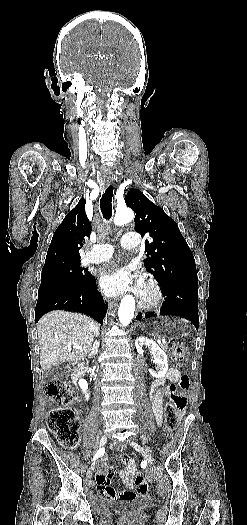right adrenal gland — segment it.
I'll return each mask as SVG.
<instances>
[{"label":"right adrenal gland","mask_w":247,"mask_h":525,"mask_svg":"<svg viewBox=\"0 0 247 525\" xmlns=\"http://www.w3.org/2000/svg\"><path fill=\"white\" fill-rule=\"evenodd\" d=\"M99 347H100L99 341H94L93 347H92V351H91L89 357H92V355H97V353L99 351Z\"/></svg>","instance_id":"obj_1"}]
</instances>
